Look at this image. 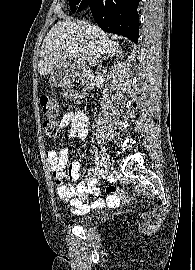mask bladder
Returning a JSON list of instances; mask_svg holds the SVG:
<instances>
[{
  "instance_id": "obj_1",
  "label": "bladder",
  "mask_w": 195,
  "mask_h": 270,
  "mask_svg": "<svg viewBox=\"0 0 195 270\" xmlns=\"http://www.w3.org/2000/svg\"><path fill=\"white\" fill-rule=\"evenodd\" d=\"M93 218L94 217L92 214H87V215H84V216H81L80 218H78L76 222L79 225L86 226L92 222Z\"/></svg>"
}]
</instances>
